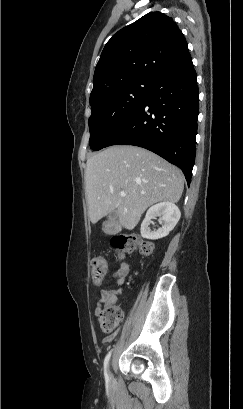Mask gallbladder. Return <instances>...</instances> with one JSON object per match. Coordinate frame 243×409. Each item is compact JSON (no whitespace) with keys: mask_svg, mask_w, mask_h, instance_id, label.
<instances>
[{"mask_svg":"<svg viewBox=\"0 0 243 409\" xmlns=\"http://www.w3.org/2000/svg\"><path fill=\"white\" fill-rule=\"evenodd\" d=\"M116 219H117V214H116V212H112L111 214H109V217H108V225H110L111 223H113Z\"/></svg>","mask_w":243,"mask_h":409,"instance_id":"gallbladder-1","label":"gallbladder"}]
</instances>
